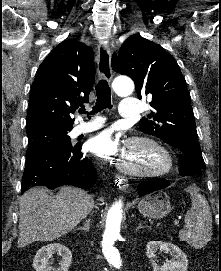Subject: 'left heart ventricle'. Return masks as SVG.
I'll return each instance as SVG.
<instances>
[{"mask_svg": "<svg viewBox=\"0 0 221 271\" xmlns=\"http://www.w3.org/2000/svg\"><path fill=\"white\" fill-rule=\"evenodd\" d=\"M132 153H138V152H132ZM130 164H143L144 160L143 159H130L129 160ZM143 166H147V165H143Z\"/></svg>", "mask_w": 221, "mask_h": 271, "instance_id": "b2bd125f", "label": "left heart ventricle"}]
</instances>
